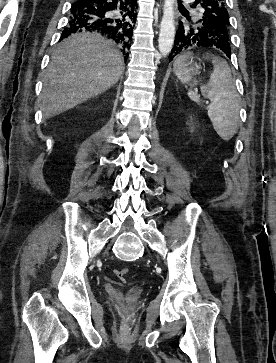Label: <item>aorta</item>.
<instances>
[{"label":"aorta","mask_w":276,"mask_h":363,"mask_svg":"<svg viewBox=\"0 0 276 363\" xmlns=\"http://www.w3.org/2000/svg\"><path fill=\"white\" fill-rule=\"evenodd\" d=\"M174 4L175 0H165L164 2L163 17L160 24V33L158 39L159 52L163 57L170 53L174 43Z\"/></svg>","instance_id":"1"}]
</instances>
